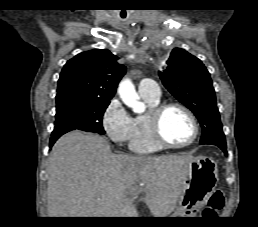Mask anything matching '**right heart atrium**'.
Here are the masks:
<instances>
[{
  "instance_id": "right-heart-atrium-1",
  "label": "right heart atrium",
  "mask_w": 258,
  "mask_h": 227,
  "mask_svg": "<svg viewBox=\"0 0 258 227\" xmlns=\"http://www.w3.org/2000/svg\"><path fill=\"white\" fill-rule=\"evenodd\" d=\"M102 127L112 142L129 143L134 134V118L118 99L110 101L102 117Z\"/></svg>"
}]
</instances>
